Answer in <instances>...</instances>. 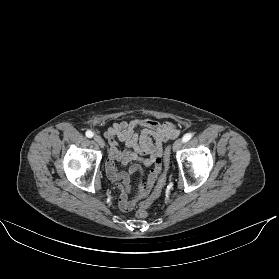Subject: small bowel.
Listing matches in <instances>:
<instances>
[{"instance_id": "obj_1", "label": "small bowel", "mask_w": 279, "mask_h": 279, "mask_svg": "<svg viewBox=\"0 0 279 279\" xmlns=\"http://www.w3.org/2000/svg\"><path fill=\"white\" fill-rule=\"evenodd\" d=\"M140 129V132H137ZM179 134L177 127L169 121L158 122L151 118H137L129 122L121 121L113 124L105 133L110 145V153L105 165L110 180L115 182L120 190L119 207L122 211H131L137 203L144 199L152 189L160 171L163 145L176 138ZM119 142L126 145V149L119 148ZM139 161L151 167L145 181L143 169L133 165L128 172H121L115 163L127 164ZM130 174L137 176V189L132 197Z\"/></svg>"}]
</instances>
